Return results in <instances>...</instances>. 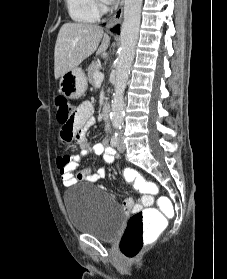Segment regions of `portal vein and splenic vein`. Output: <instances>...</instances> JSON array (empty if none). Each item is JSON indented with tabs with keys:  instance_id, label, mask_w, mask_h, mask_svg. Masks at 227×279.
<instances>
[{
	"instance_id": "obj_1",
	"label": "portal vein and splenic vein",
	"mask_w": 227,
	"mask_h": 279,
	"mask_svg": "<svg viewBox=\"0 0 227 279\" xmlns=\"http://www.w3.org/2000/svg\"><path fill=\"white\" fill-rule=\"evenodd\" d=\"M103 79H104V74L100 70H97L94 73V80H95V82H102Z\"/></svg>"
}]
</instances>
